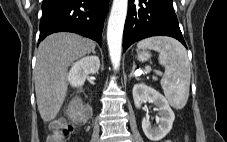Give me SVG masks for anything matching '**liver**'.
<instances>
[{"label": "liver", "mask_w": 227, "mask_h": 142, "mask_svg": "<svg viewBox=\"0 0 227 142\" xmlns=\"http://www.w3.org/2000/svg\"><path fill=\"white\" fill-rule=\"evenodd\" d=\"M94 49L92 40L66 32L49 35L39 44L33 78L37 106L44 122L57 116L66 98L68 67Z\"/></svg>", "instance_id": "liver-1"}]
</instances>
